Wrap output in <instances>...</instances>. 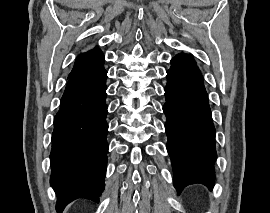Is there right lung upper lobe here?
<instances>
[{
	"label": "right lung upper lobe",
	"mask_w": 270,
	"mask_h": 213,
	"mask_svg": "<svg viewBox=\"0 0 270 213\" xmlns=\"http://www.w3.org/2000/svg\"><path fill=\"white\" fill-rule=\"evenodd\" d=\"M104 64V55L100 49L95 48L88 52L80 54L75 62L73 70L68 76V79L75 76L93 72L103 68Z\"/></svg>",
	"instance_id": "right-lung-upper-lobe-1"
}]
</instances>
